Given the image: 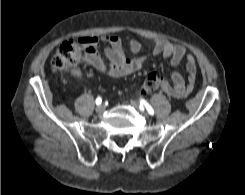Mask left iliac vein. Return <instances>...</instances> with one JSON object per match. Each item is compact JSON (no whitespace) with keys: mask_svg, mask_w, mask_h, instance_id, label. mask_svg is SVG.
I'll return each instance as SVG.
<instances>
[{"mask_svg":"<svg viewBox=\"0 0 245 195\" xmlns=\"http://www.w3.org/2000/svg\"><path fill=\"white\" fill-rule=\"evenodd\" d=\"M130 104L136 109H138L144 117H148V114L144 111V109L140 108L139 103L137 101L131 100Z\"/></svg>","mask_w":245,"mask_h":195,"instance_id":"obj_1","label":"left iliac vein"}]
</instances>
